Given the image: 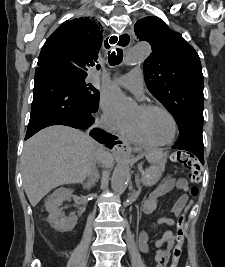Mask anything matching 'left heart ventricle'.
Wrapping results in <instances>:
<instances>
[{"label":"left heart ventricle","instance_id":"1","mask_svg":"<svg viewBox=\"0 0 225 267\" xmlns=\"http://www.w3.org/2000/svg\"><path fill=\"white\" fill-rule=\"evenodd\" d=\"M132 122L140 123L148 136L154 142H167L174 134V126L171 119L163 112L153 110L145 112L138 107L131 116Z\"/></svg>","mask_w":225,"mask_h":267}]
</instances>
